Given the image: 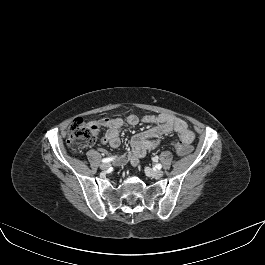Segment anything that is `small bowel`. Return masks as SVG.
I'll return each instance as SVG.
<instances>
[{
    "mask_svg": "<svg viewBox=\"0 0 265 265\" xmlns=\"http://www.w3.org/2000/svg\"><path fill=\"white\" fill-rule=\"evenodd\" d=\"M124 121L130 126H135L141 121L151 124L152 127L149 130L135 134L131 138V152L120 157L117 160L118 164L130 163L133 166H137L139 158L155 150L159 145L160 138L171 132H176L180 140L185 143L190 144L194 140V133L188 128L187 123L181 118L169 114L148 115L142 119H139L134 114H129L125 119L120 116L101 118L91 124L106 129L101 139L102 144H108L112 148H117L120 145L119 128L123 125Z\"/></svg>",
    "mask_w": 265,
    "mask_h": 265,
    "instance_id": "1",
    "label": "small bowel"
}]
</instances>
